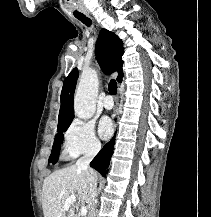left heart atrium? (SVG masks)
Instances as JSON below:
<instances>
[{
  "label": "left heart atrium",
  "instance_id": "39dd6f15",
  "mask_svg": "<svg viewBox=\"0 0 211 217\" xmlns=\"http://www.w3.org/2000/svg\"><path fill=\"white\" fill-rule=\"evenodd\" d=\"M113 132L112 122L108 117H103L99 122V134L103 139H108Z\"/></svg>",
  "mask_w": 211,
  "mask_h": 217
}]
</instances>
